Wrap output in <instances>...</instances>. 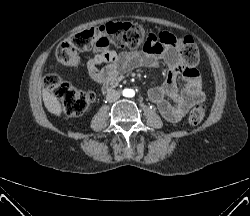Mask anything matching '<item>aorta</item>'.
<instances>
[{
	"label": "aorta",
	"instance_id": "obj_1",
	"mask_svg": "<svg viewBox=\"0 0 250 216\" xmlns=\"http://www.w3.org/2000/svg\"><path fill=\"white\" fill-rule=\"evenodd\" d=\"M123 95L125 97H133L134 96V91L132 89H125L123 91Z\"/></svg>",
	"mask_w": 250,
	"mask_h": 216
}]
</instances>
